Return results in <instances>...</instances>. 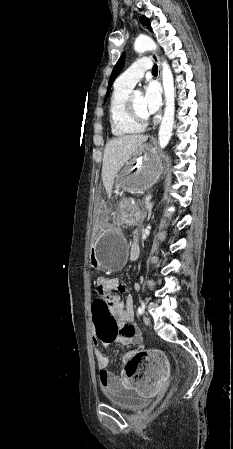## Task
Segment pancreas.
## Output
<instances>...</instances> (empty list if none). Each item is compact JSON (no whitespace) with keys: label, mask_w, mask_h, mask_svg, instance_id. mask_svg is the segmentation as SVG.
I'll list each match as a JSON object with an SVG mask.
<instances>
[{"label":"pancreas","mask_w":233,"mask_h":449,"mask_svg":"<svg viewBox=\"0 0 233 449\" xmlns=\"http://www.w3.org/2000/svg\"><path fill=\"white\" fill-rule=\"evenodd\" d=\"M126 203L128 208L125 213H121V219L128 220L130 224H137V222L142 221L145 216L144 212L133 206L129 200Z\"/></svg>","instance_id":"obj_1"}]
</instances>
